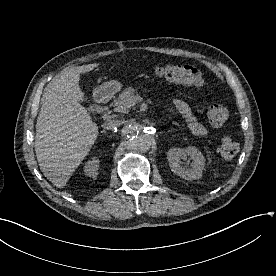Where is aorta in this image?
Wrapping results in <instances>:
<instances>
[{"label": "aorta", "mask_w": 276, "mask_h": 276, "mask_svg": "<svg viewBox=\"0 0 276 276\" xmlns=\"http://www.w3.org/2000/svg\"><path fill=\"white\" fill-rule=\"evenodd\" d=\"M122 137L126 147L135 152H147L152 144L150 135L143 132L137 125L128 124L122 129Z\"/></svg>", "instance_id": "obj_1"}]
</instances>
